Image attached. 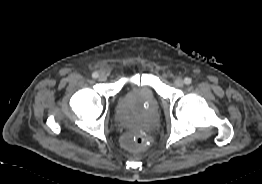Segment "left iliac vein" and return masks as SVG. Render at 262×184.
Segmentation results:
<instances>
[{"instance_id": "4c4485c4", "label": "left iliac vein", "mask_w": 262, "mask_h": 184, "mask_svg": "<svg viewBox=\"0 0 262 184\" xmlns=\"http://www.w3.org/2000/svg\"><path fill=\"white\" fill-rule=\"evenodd\" d=\"M174 84L177 86V87H182L184 85V80L180 77L176 78L174 80Z\"/></svg>"}]
</instances>
